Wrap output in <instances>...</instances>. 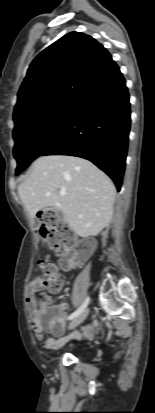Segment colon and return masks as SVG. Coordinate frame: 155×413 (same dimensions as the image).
Instances as JSON below:
<instances>
[{
  "mask_svg": "<svg viewBox=\"0 0 155 413\" xmlns=\"http://www.w3.org/2000/svg\"><path fill=\"white\" fill-rule=\"evenodd\" d=\"M36 215L40 217V236L42 245L54 253L62 252L61 267L67 268L74 261L85 259L89 252L86 242H78L68 227L60 224L59 213L53 208H38ZM43 270V284L45 288L57 293L63 285V275L58 266L49 258L41 261Z\"/></svg>",
  "mask_w": 155,
  "mask_h": 413,
  "instance_id": "obj_1",
  "label": "colon"
}]
</instances>
